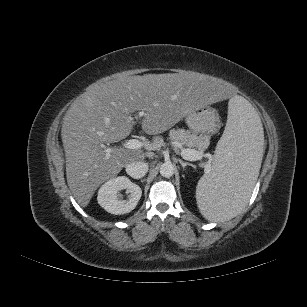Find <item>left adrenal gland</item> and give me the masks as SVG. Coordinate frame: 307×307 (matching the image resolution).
<instances>
[{"label":"left adrenal gland","instance_id":"obj_1","mask_svg":"<svg viewBox=\"0 0 307 307\" xmlns=\"http://www.w3.org/2000/svg\"><path fill=\"white\" fill-rule=\"evenodd\" d=\"M179 163L181 164L183 169H185L187 166H191V167L195 168V166L193 164L188 163V162H184L181 159H179Z\"/></svg>","mask_w":307,"mask_h":307}]
</instances>
